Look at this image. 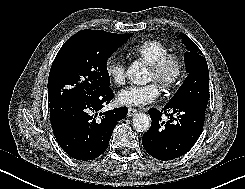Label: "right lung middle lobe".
<instances>
[{
  "label": "right lung middle lobe",
  "mask_w": 245,
  "mask_h": 189,
  "mask_svg": "<svg viewBox=\"0 0 245 189\" xmlns=\"http://www.w3.org/2000/svg\"><path fill=\"white\" fill-rule=\"evenodd\" d=\"M132 35L85 29L69 38L51 66L49 101L91 95L99 87H109L107 59Z\"/></svg>",
  "instance_id": "right-lung-middle-lobe-1"
}]
</instances>
